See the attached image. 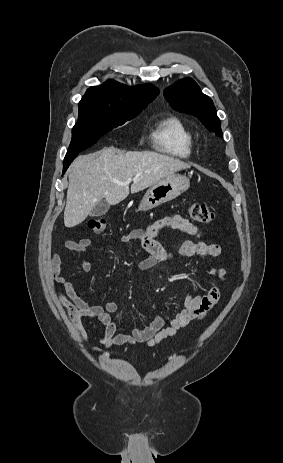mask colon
I'll return each mask as SVG.
<instances>
[{
  "label": "colon",
  "mask_w": 283,
  "mask_h": 463,
  "mask_svg": "<svg viewBox=\"0 0 283 463\" xmlns=\"http://www.w3.org/2000/svg\"><path fill=\"white\" fill-rule=\"evenodd\" d=\"M191 218L201 224H209L215 220L216 214L208 206L201 203H192L188 208ZM107 226L104 217H92L88 220V227L94 233H101Z\"/></svg>",
  "instance_id": "colon-1"
}]
</instances>
